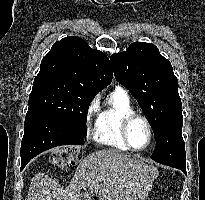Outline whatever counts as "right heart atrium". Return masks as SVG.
<instances>
[{"mask_svg": "<svg viewBox=\"0 0 205 200\" xmlns=\"http://www.w3.org/2000/svg\"><path fill=\"white\" fill-rule=\"evenodd\" d=\"M99 110H100L99 96L96 95L90 100L85 111L86 134L88 137L94 136L93 122L98 117Z\"/></svg>", "mask_w": 205, "mask_h": 200, "instance_id": "right-heart-atrium-1", "label": "right heart atrium"}]
</instances>
